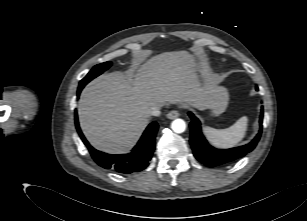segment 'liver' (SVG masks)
Masks as SVG:
<instances>
[{
	"label": "liver",
	"instance_id": "obj_1",
	"mask_svg": "<svg viewBox=\"0 0 307 221\" xmlns=\"http://www.w3.org/2000/svg\"><path fill=\"white\" fill-rule=\"evenodd\" d=\"M218 83L198 75L187 51L165 52L142 64L135 73L103 74L82 91L78 103L80 127L98 150L126 153L149 123L153 106L183 103L207 109Z\"/></svg>",
	"mask_w": 307,
	"mask_h": 221
}]
</instances>
